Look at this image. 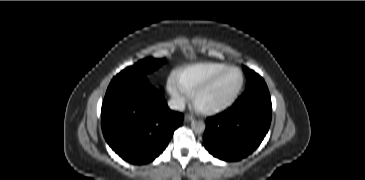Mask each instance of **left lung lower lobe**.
Masks as SVG:
<instances>
[{"label": "left lung lower lobe", "mask_w": 365, "mask_h": 180, "mask_svg": "<svg viewBox=\"0 0 365 180\" xmlns=\"http://www.w3.org/2000/svg\"><path fill=\"white\" fill-rule=\"evenodd\" d=\"M271 117V98L265 82L247 88L232 107L206 120L205 148L221 160H240L260 145Z\"/></svg>", "instance_id": "left-lung-lower-lobe-1"}]
</instances>
